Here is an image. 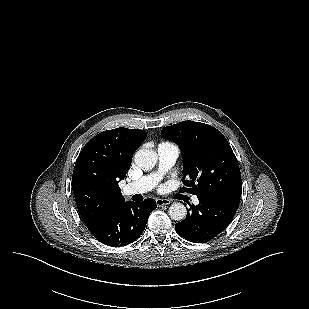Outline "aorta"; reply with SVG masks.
<instances>
[{
    "mask_svg": "<svg viewBox=\"0 0 309 309\" xmlns=\"http://www.w3.org/2000/svg\"><path fill=\"white\" fill-rule=\"evenodd\" d=\"M135 164L144 171L151 170L157 162V153L149 149H140L134 156ZM169 215L175 221H182L187 215L186 207L179 202L171 204Z\"/></svg>",
    "mask_w": 309,
    "mask_h": 309,
    "instance_id": "obj_1",
    "label": "aorta"
}]
</instances>
